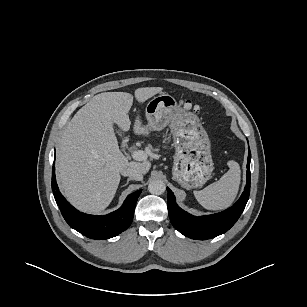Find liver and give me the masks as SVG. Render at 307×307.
<instances>
[{
    "label": "liver",
    "mask_w": 307,
    "mask_h": 307,
    "mask_svg": "<svg viewBox=\"0 0 307 307\" xmlns=\"http://www.w3.org/2000/svg\"><path fill=\"white\" fill-rule=\"evenodd\" d=\"M162 90L138 88L135 98L144 102ZM132 104L130 93L97 94L77 111L62 135L56 158L57 180L68 201L83 212L97 214L111 203L122 169L135 167L146 174L151 167L147 160L129 162L119 150L113 124L125 132L129 130ZM133 131L146 134L139 116Z\"/></svg>",
    "instance_id": "1"
}]
</instances>
